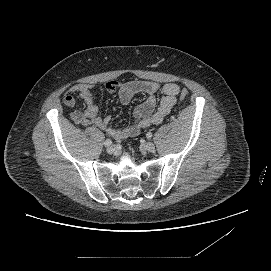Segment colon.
Here are the masks:
<instances>
[{
  "label": "colon",
  "mask_w": 271,
  "mask_h": 271,
  "mask_svg": "<svg viewBox=\"0 0 271 271\" xmlns=\"http://www.w3.org/2000/svg\"><path fill=\"white\" fill-rule=\"evenodd\" d=\"M188 96V90L187 89H182L179 93V98L181 100L185 99Z\"/></svg>",
  "instance_id": "1"
}]
</instances>
